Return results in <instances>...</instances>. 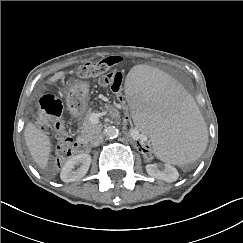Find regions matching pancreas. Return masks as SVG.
Segmentation results:
<instances>
[{"instance_id": "cf45deb5", "label": "pancreas", "mask_w": 243, "mask_h": 243, "mask_svg": "<svg viewBox=\"0 0 243 243\" xmlns=\"http://www.w3.org/2000/svg\"><path fill=\"white\" fill-rule=\"evenodd\" d=\"M91 110L88 111L86 114L81 130L80 136L78 137L79 140L84 142H92L93 138L98 135L101 131L100 126L95 125L90 120Z\"/></svg>"}]
</instances>
